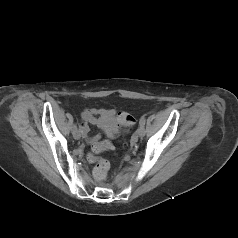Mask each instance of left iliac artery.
Returning a JSON list of instances; mask_svg holds the SVG:
<instances>
[{"mask_svg": "<svg viewBox=\"0 0 238 238\" xmlns=\"http://www.w3.org/2000/svg\"><path fill=\"white\" fill-rule=\"evenodd\" d=\"M145 122H146V118L143 116L141 117L140 121H139V124L140 126H144L145 125Z\"/></svg>", "mask_w": 238, "mask_h": 238, "instance_id": "44dca946", "label": "left iliac artery"}]
</instances>
